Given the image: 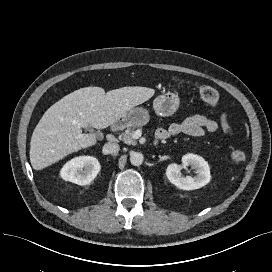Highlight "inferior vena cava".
<instances>
[{
    "label": "inferior vena cava",
    "mask_w": 272,
    "mask_h": 272,
    "mask_svg": "<svg viewBox=\"0 0 272 272\" xmlns=\"http://www.w3.org/2000/svg\"><path fill=\"white\" fill-rule=\"evenodd\" d=\"M119 150H120L119 145L116 143L108 142L103 146V151L106 154H117Z\"/></svg>",
    "instance_id": "1"
}]
</instances>
